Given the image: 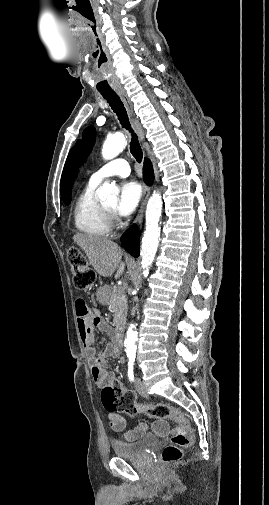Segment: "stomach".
Returning <instances> with one entry per match:
<instances>
[{"label": "stomach", "instance_id": "0dacf381", "mask_svg": "<svg viewBox=\"0 0 269 505\" xmlns=\"http://www.w3.org/2000/svg\"><path fill=\"white\" fill-rule=\"evenodd\" d=\"M108 291H109V289L107 286L101 287L98 290V298H99L100 302L103 304H106V302H107L106 294L108 293Z\"/></svg>", "mask_w": 269, "mask_h": 505}]
</instances>
